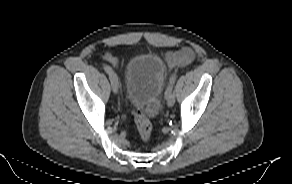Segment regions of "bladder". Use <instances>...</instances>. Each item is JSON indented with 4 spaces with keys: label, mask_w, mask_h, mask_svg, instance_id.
Instances as JSON below:
<instances>
[{
    "label": "bladder",
    "mask_w": 292,
    "mask_h": 184,
    "mask_svg": "<svg viewBox=\"0 0 292 184\" xmlns=\"http://www.w3.org/2000/svg\"><path fill=\"white\" fill-rule=\"evenodd\" d=\"M164 81V65L156 54L134 57L125 70L127 101L154 116L158 110Z\"/></svg>",
    "instance_id": "obj_1"
}]
</instances>
